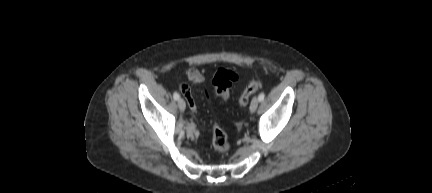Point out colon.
<instances>
[{"label":"colon","mask_w":432,"mask_h":193,"mask_svg":"<svg viewBox=\"0 0 432 193\" xmlns=\"http://www.w3.org/2000/svg\"><path fill=\"white\" fill-rule=\"evenodd\" d=\"M238 80V75L228 69H219L213 78L212 84L216 96L226 100L229 92L234 83ZM259 82L257 80L250 81L243 90L240 98V106H245L249 102L250 97L259 89ZM212 145L219 153H227L230 149V142L225 131L217 124L214 123L212 131Z\"/></svg>","instance_id":"5ec220e1"}]
</instances>
